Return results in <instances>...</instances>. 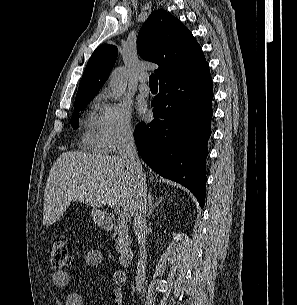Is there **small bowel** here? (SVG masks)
<instances>
[{
  "instance_id": "1",
  "label": "small bowel",
  "mask_w": 297,
  "mask_h": 305,
  "mask_svg": "<svg viewBox=\"0 0 297 305\" xmlns=\"http://www.w3.org/2000/svg\"><path fill=\"white\" fill-rule=\"evenodd\" d=\"M84 262L88 267H98L103 262V254L99 250H90L86 253ZM113 281L117 286L112 292L113 305H124V296L120 286L125 282V273L121 270H115ZM52 282L56 288L66 289L70 285V276L65 271H56L53 274ZM65 305H83L81 295L75 291L69 292L65 297Z\"/></svg>"
}]
</instances>
